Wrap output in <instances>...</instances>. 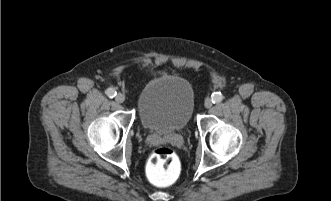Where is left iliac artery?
Wrapping results in <instances>:
<instances>
[{
    "mask_svg": "<svg viewBox=\"0 0 331 201\" xmlns=\"http://www.w3.org/2000/svg\"><path fill=\"white\" fill-rule=\"evenodd\" d=\"M213 103H219L223 100V95L220 92H215L211 96Z\"/></svg>",
    "mask_w": 331,
    "mask_h": 201,
    "instance_id": "44dca946",
    "label": "left iliac artery"
}]
</instances>
